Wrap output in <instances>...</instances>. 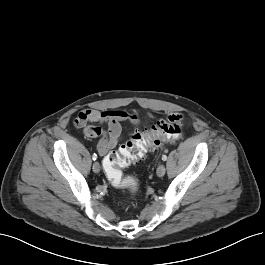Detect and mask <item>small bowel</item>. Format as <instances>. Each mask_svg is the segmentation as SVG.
Segmentation results:
<instances>
[{
	"label": "small bowel",
	"mask_w": 265,
	"mask_h": 265,
	"mask_svg": "<svg viewBox=\"0 0 265 265\" xmlns=\"http://www.w3.org/2000/svg\"><path fill=\"white\" fill-rule=\"evenodd\" d=\"M169 119L181 120V116L171 114ZM124 121L138 124L140 117L137 114H128L122 110L99 111L85 109L78 113L73 120V124L75 127L82 129L86 137L100 138L97 151L99 155L104 156L119 144L122 137L121 122ZM104 126L106 129L103 128Z\"/></svg>",
	"instance_id": "c3829d8e"
}]
</instances>
